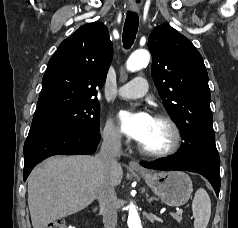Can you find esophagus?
<instances>
[{"label": "esophagus", "instance_id": "34e87169", "mask_svg": "<svg viewBox=\"0 0 238 228\" xmlns=\"http://www.w3.org/2000/svg\"><path fill=\"white\" fill-rule=\"evenodd\" d=\"M132 10L138 12L137 8H133ZM129 167L135 170H142L141 166L136 161L133 160L129 162Z\"/></svg>", "mask_w": 238, "mask_h": 228}]
</instances>
